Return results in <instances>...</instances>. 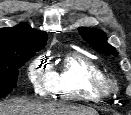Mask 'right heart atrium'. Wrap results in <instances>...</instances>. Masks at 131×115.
Segmentation results:
<instances>
[{"mask_svg": "<svg viewBox=\"0 0 131 115\" xmlns=\"http://www.w3.org/2000/svg\"><path fill=\"white\" fill-rule=\"evenodd\" d=\"M27 76L34 90L44 96L51 92L54 87V74L46 67L41 58L30 62L27 68Z\"/></svg>", "mask_w": 131, "mask_h": 115, "instance_id": "d8ad5b80", "label": "right heart atrium"}]
</instances>
